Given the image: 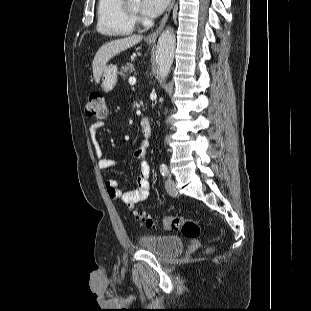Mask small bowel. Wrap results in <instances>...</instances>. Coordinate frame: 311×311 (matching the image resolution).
Masks as SVG:
<instances>
[{
	"mask_svg": "<svg viewBox=\"0 0 311 311\" xmlns=\"http://www.w3.org/2000/svg\"><path fill=\"white\" fill-rule=\"evenodd\" d=\"M103 126V122H95L90 125L88 131L93 142L98 167L106 170L120 166V162L116 159L107 158L103 155L101 146L97 141V133L101 128H103ZM148 146V140L144 139L134 152L136 159L139 161V173L136 178V188L129 191H122L118 188V183L115 179H107L105 181V185L110 198L121 201L130 207H133L136 203L142 202L148 198L150 192V168L145 160Z\"/></svg>",
	"mask_w": 311,
	"mask_h": 311,
	"instance_id": "1",
	"label": "small bowel"
}]
</instances>
